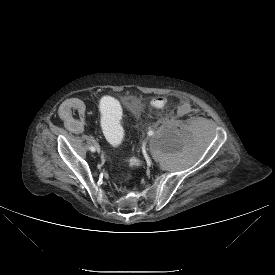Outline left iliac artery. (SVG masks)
Returning <instances> with one entry per match:
<instances>
[{
  "label": "left iliac artery",
  "mask_w": 275,
  "mask_h": 275,
  "mask_svg": "<svg viewBox=\"0 0 275 275\" xmlns=\"http://www.w3.org/2000/svg\"><path fill=\"white\" fill-rule=\"evenodd\" d=\"M148 134L151 136V135L154 134V132H153L152 130H150V131L148 132Z\"/></svg>",
  "instance_id": "obj_1"
}]
</instances>
